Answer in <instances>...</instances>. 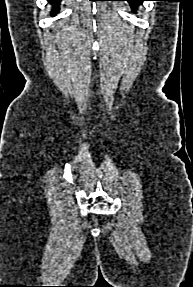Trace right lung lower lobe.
I'll return each mask as SVG.
<instances>
[{"instance_id": "1", "label": "right lung lower lobe", "mask_w": 193, "mask_h": 287, "mask_svg": "<svg viewBox=\"0 0 193 287\" xmlns=\"http://www.w3.org/2000/svg\"><path fill=\"white\" fill-rule=\"evenodd\" d=\"M61 0H49V2L52 4L53 9H52V14L55 15L56 13L59 12V2Z\"/></svg>"}]
</instances>
